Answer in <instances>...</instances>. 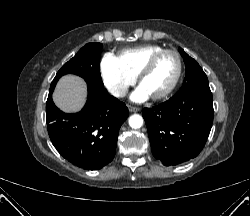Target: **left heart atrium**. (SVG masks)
<instances>
[{
    "label": "left heart atrium",
    "mask_w": 250,
    "mask_h": 216,
    "mask_svg": "<svg viewBox=\"0 0 250 216\" xmlns=\"http://www.w3.org/2000/svg\"><path fill=\"white\" fill-rule=\"evenodd\" d=\"M149 97L150 95L141 85L131 94V100L134 102H144Z\"/></svg>",
    "instance_id": "39dd6f15"
}]
</instances>
